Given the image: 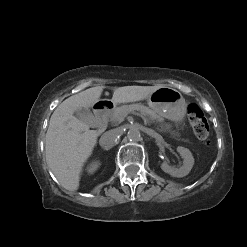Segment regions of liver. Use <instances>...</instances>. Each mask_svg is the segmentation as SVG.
Listing matches in <instances>:
<instances>
[{
	"label": "liver",
	"instance_id": "liver-1",
	"mask_svg": "<svg viewBox=\"0 0 247 247\" xmlns=\"http://www.w3.org/2000/svg\"><path fill=\"white\" fill-rule=\"evenodd\" d=\"M163 87L124 86L114 88L112 102L129 103L148 98ZM103 86L86 89L64 100L53 112L46 133V161L60 184L69 191L79 187L82 168L96 145L98 133L77 119V109L93 107L103 92Z\"/></svg>",
	"mask_w": 247,
	"mask_h": 247
}]
</instances>
